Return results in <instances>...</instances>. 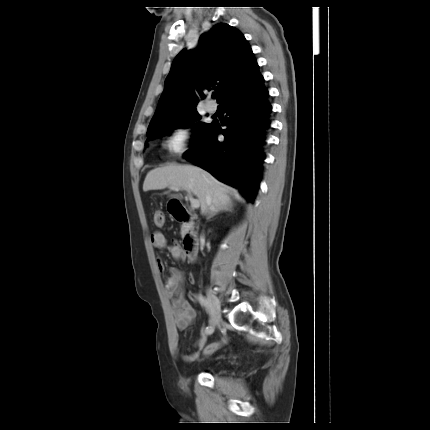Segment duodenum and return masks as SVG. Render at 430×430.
<instances>
[{"mask_svg":"<svg viewBox=\"0 0 430 430\" xmlns=\"http://www.w3.org/2000/svg\"><path fill=\"white\" fill-rule=\"evenodd\" d=\"M171 213L177 221L185 224L186 226V232L183 239V250L186 257L190 261H193L198 254L199 248V240L192 228L194 218L181 203H175L172 207Z\"/></svg>","mask_w":430,"mask_h":430,"instance_id":"obj_1","label":"duodenum"}]
</instances>
